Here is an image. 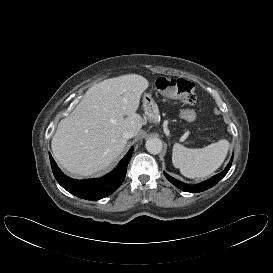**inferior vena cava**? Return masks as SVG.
I'll return each mask as SVG.
<instances>
[{
  "label": "inferior vena cava",
  "mask_w": 273,
  "mask_h": 273,
  "mask_svg": "<svg viewBox=\"0 0 273 273\" xmlns=\"http://www.w3.org/2000/svg\"><path fill=\"white\" fill-rule=\"evenodd\" d=\"M134 136H135V132L133 130H126L122 134V137L124 139H130V138H133Z\"/></svg>",
  "instance_id": "obj_1"
}]
</instances>
